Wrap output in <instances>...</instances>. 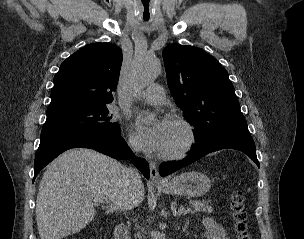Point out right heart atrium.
Returning a JSON list of instances; mask_svg holds the SVG:
<instances>
[{"mask_svg": "<svg viewBox=\"0 0 304 239\" xmlns=\"http://www.w3.org/2000/svg\"><path fill=\"white\" fill-rule=\"evenodd\" d=\"M129 145L134 151L138 150L137 145L132 140L129 141Z\"/></svg>", "mask_w": 304, "mask_h": 239, "instance_id": "right-heart-atrium-1", "label": "right heart atrium"}]
</instances>
